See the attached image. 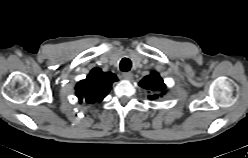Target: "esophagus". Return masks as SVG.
<instances>
[{"instance_id": "obj_1", "label": "esophagus", "mask_w": 248, "mask_h": 158, "mask_svg": "<svg viewBox=\"0 0 248 158\" xmlns=\"http://www.w3.org/2000/svg\"><path fill=\"white\" fill-rule=\"evenodd\" d=\"M132 73L131 72H124V73H122V77H123V79H125V80H131L132 79Z\"/></svg>"}]
</instances>
